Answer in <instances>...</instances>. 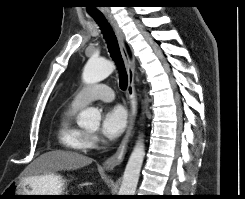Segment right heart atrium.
<instances>
[{
	"label": "right heart atrium",
	"mask_w": 245,
	"mask_h": 199,
	"mask_svg": "<svg viewBox=\"0 0 245 199\" xmlns=\"http://www.w3.org/2000/svg\"><path fill=\"white\" fill-rule=\"evenodd\" d=\"M88 140L91 147L95 146L98 143V137L94 134H89Z\"/></svg>",
	"instance_id": "right-heart-atrium-1"
}]
</instances>
